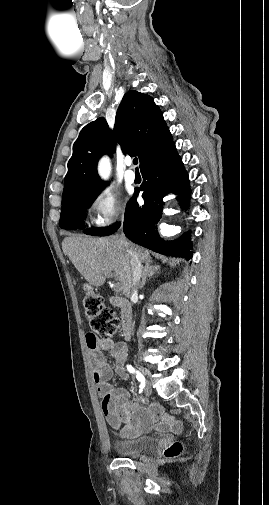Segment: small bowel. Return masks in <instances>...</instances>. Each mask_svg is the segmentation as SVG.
<instances>
[{
	"label": "small bowel",
	"instance_id": "obj_1",
	"mask_svg": "<svg viewBox=\"0 0 269 505\" xmlns=\"http://www.w3.org/2000/svg\"><path fill=\"white\" fill-rule=\"evenodd\" d=\"M86 344L93 364V378L97 392L102 398V412L121 438L134 439L151 430L162 433H177L181 430V423L165 415L160 405L141 407L131 401V395L126 389L117 388L112 383L114 374L122 379L128 377L124 366L127 358L125 344L115 343L109 338H96L89 334L86 335ZM107 352L114 359V368L107 361L105 355Z\"/></svg>",
	"mask_w": 269,
	"mask_h": 505
}]
</instances>
